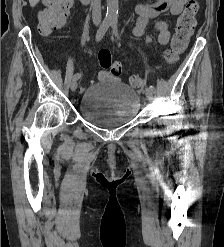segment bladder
Returning <instances> with one entry per match:
<instances>
[{
	"label": "bladder",
	"instance_id": "31cf9c89",
	"mask_svg": "<svg viewBox=\"0 0 224 247\" xmlns=\"http://www.w3.org/2000/svg\"><path fill=\"white\" fill-rule=\"evenodd\" d=\"M139 108L140 98L134 89L120 81L106 79L85 89L78 112L86 122L112 129L135 118Z\"/></svg>",
	"mask_w": 224,
	"mask_h": 247
}]
</instances>
